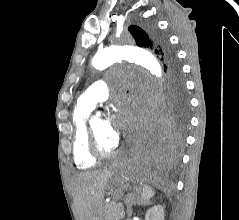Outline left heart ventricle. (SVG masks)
<instances>
[{
  "label": "left heart ventricle",
  "mask_w": 239,
  "mask_h": 220,
  "mask_svg": "<svg viewBox=\"0 0 239 220\" xmlns=\"http://www.w3.org/2000/svg\"><path fill=\"white\" fill-rule=\"evenodd\" d=\"M92 126L97 140L103 150H110L115 145L112 139H110L106 134V121L100 118H95L92 120Z\"/></svg>",
  "instance_id": "obj_1"
}]
</instances>
